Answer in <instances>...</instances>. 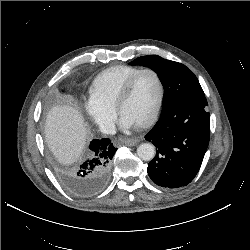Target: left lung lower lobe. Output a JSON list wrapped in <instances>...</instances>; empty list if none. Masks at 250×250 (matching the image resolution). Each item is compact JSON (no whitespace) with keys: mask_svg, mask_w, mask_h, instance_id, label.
<instances>
[{"mask_svg":"<svg viewBox=\"0 0 250 250\" xmlns=\"http://www.w3.org/2000/svg\"><path fill=\"white\" fill-rule=\"evenodd\" d=\"M207 100L197 97L182 102L161 116L145 139L156 147L148 164L151 180L162 187L179 188L198 173L210 138Z\"/></svg>","mask_w":250,"mask_h":250,"instance_id":"obj_1","label":"left lung lower lobe"}]
</instances>
